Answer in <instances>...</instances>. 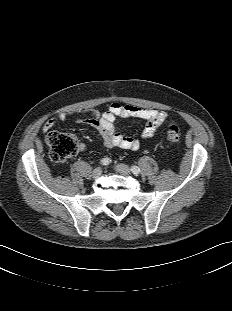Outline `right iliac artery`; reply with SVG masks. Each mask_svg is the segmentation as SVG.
Returning <instances> with one entry per match:
<instances>
[{"label": "right iliac artery", "mask_w": 232, "mask_h": 311, "mask_svg": "<svg viewBox=\"0 0 232 311\" xmlns=\"http://www.w3.org/2000/svg\"><path fill=\"white\" fill-rule=\"evenodd\" d=\"M110 162H111V160H110L109 158H103V159L100 161V164H101V165H108Z\"/></svg>", "instance_id": "1"}]
</instances>
